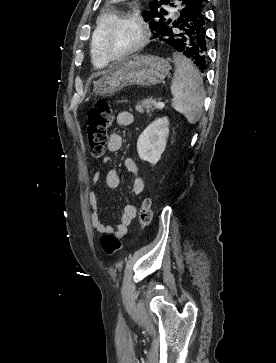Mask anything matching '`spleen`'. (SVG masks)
Instances as JSON below:
<instances>
[{"label":"spleen","mask_w":276,"mask_h":363,"mask_svg":"<svg viewBox=\"0 0 276 363\" xmlns=\"http://www.w3.org/2000/svg\"><path fill=\"white\" fill-rule=\"evenodd\" d=\"M176 66L171 93L173 108L183 114L190 124H195L202 116L205 91L199 71L191 60L180 53H173Z\"/></svg>","instance_id":"obj_1"}]
</instances>
